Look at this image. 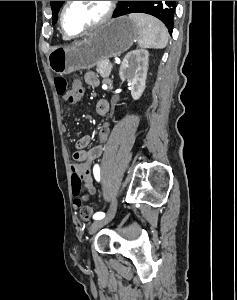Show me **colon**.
<instances>
[{
	"mask_svg": "<svg viewBox=\"0 0 237 300\" xmlns=\"http://www.w3.org/2000/svg\"><path fill=\"white\" fill-rule=\"evenodd\" d=\"M54 85L58 95L63 96L70 104L75 105L79 103L83 96V88H79L74 92L68 90V82L63 77L54 79ZM82 186V178L77 171L72 172V191L75 196L74 205L80 208L81 216L88 219L92 214V209L84 204L85 198L81 197L80 191Z\"/></svg>",
	"mask_w": 237,
	"mask_h": 300,
	"instance_id": "colon-1",
	"label": "colon"
}]
</instances>
